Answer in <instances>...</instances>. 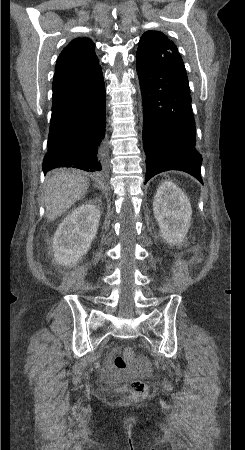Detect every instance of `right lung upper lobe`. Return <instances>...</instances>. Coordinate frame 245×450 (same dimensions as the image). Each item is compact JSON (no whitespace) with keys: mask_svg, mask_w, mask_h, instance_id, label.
Returning <instances> with one entry per match:
<instances>
[{"mask_svg":"<svg viewBox=\"0 0 245 450\" xmlns=\"http://www.w3.org/2000/svg\"><path fill=\"white\" fill-rule=\"evenodd\" d=\"M98 67L93 42L87 38L74 39L60 53L56 62L53 97L79 83Z\"/></svg>","mask_w":245,"mask_h":450,"instance_id":"cb5924a9","label":"right lung upper lobe"}]
</instances>
